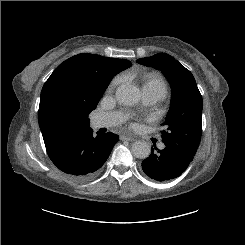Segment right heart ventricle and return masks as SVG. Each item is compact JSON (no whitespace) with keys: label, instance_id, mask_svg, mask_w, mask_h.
<instances>
[{"label":"right heart ventricle","instance_id":"right-heart-ventricle-1","mask_svg":"<svg viewBox=\"0 0 245 245\" xmlns=\"http://www.w3.org/2000/svg\"><path fill=\"white\" fill-rule=\"evenodd\" d=\"M168 91L164 78L156 72L148 73L143 78V92L159 95L163 98Z\"/></svg>","mask_w":245,"mask_h":245}]
</instances>
